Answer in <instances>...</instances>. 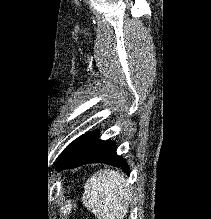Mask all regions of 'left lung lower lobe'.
I'll return each instance as SVG.
<instances>
[{
    "label": "left lung lower lobe",
    "instance_id": "0a47b994",
    "mask_svg": "<svg viewBox=\"0 0 211 219\" xmlns=\"http://www.w3.org/2000/svg\"><path fill=\"white\" fill-rule=\"evenodd\" d=\"M97 132H89L75 139L60 154L58 169H68L88 163H105L120 167L126 174L130 169L126 160L116 154V145L112 141L98 139Z\"/></svg>",
    "mask_w": 211,
    "mask_h": 219
}]
</instances>
